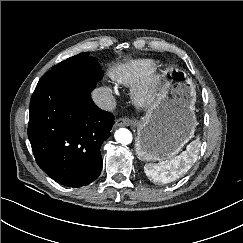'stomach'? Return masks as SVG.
<instances>
[{
    "label": "stomach",
    "mask_w": 243,
    "mask_h": 243,
    "mask_svg": "<svg viewBox=\"0 0 243 243\" xmlns=\"http://www.w3.org/2000/svg\"><path fill=\"white\" fill-rule=\"evenodd\" d=\"M155 101L137 122L136 154L143 161H162L177 155L194 136L196 91L187 74L169 68Z\"/></svg>",
    "instance_id": "stomach-1"
}]
</instances>
